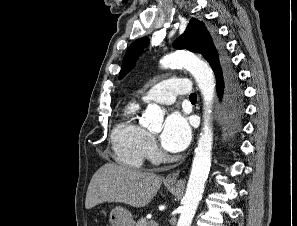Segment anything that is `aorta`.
Masks as SVG:
<instances>
[{"instance_id": "aorta-1", "label": "aorta", "mask_w": 297, "mask_h": 226, "mask_svg": "<svg viewBox=\"0 0 297 226\" xmlns=\"http://www.w3.org/2000/svg\"><path fill=\"white\" fill-rule=\"evenodd\" d=\"M163 68L184 67L194 76L204 100V123L192 163L183 206L177 226H190L204 192L205 182L211 167L213 132L210 123L215 93V76L207 63L192 53L176 51L163 57ZM163 114L156 104H149L142 116V123L150 130H161Z\"/></svg>"}]
</instances>
